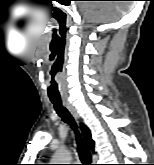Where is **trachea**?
Instances as JSON below:
<instances>
[{
	"instance_id": "trachea-1",
	"label": "trachea",
	"mask_w": 154,
	"mask_h": 165,
	"mask_svg": "<svg viewBox=\"0 0 154 165\" xmlns=\"http://www.w3.org/2000/svg\"><path fill=\"white\" fill-rule=\"evenodd\" d=\"M50 101L53 103L54 108L57 114L62 118L65 123H68L73 128L76 134V141H77V149L79 158L83 164L81 165H91V153L88 147L83 142L80 133L77 130L76 123L69 113V111L62 105V101L60 98H50Z\"/></svg>"
}]
</instances>
